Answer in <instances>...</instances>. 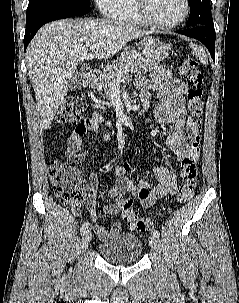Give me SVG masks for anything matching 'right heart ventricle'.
Segmentation results:
<instances>
[{
    "instance_id": "e07e8e85",
    "label": "right heart ventricle",
    "mask_w": 239,
    "mask_h": 303,
    "mask_svg": "<svg viewBox=\"0 0 239 303\" xmlns=\"http://www.w3.org/2000/svg\"><path fill=\"white\" fill-rule=\"evenodd\" d=\"M116 20L132 24H143L134 9L133 0H124L120 13L115 17Z\"/></svg>"
}]
</instances>
